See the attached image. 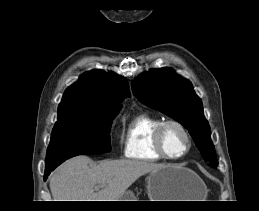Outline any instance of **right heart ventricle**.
I'll use <instances>...</instances> for the list:
<instances>
[{
    "label": "right heart ventricle",
    "instance_id": "e07e8e85",
    "mask_svg": "<svg viewBox=\"0 0 259 211\" xmlns=\"http://www.w3.org/2000/svg\"><path fill=\"white\" fill-rule=\"evenodd\" d=\"M163 120L148 112L134 114L123 129V151L130 159L163 160L154 146V133Z\"/></svg>",
    "mask_w": 259,
    "mask_h": 211
}]
</instances>
